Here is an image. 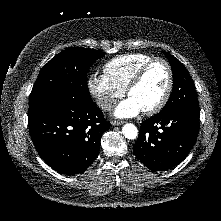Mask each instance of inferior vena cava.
Returning a JSON list of instances; mask_svg holds the SVG:
<instances>
[{
  "mask_svg": "<svg viewBox=\"0 0 221 221\" xmlns=\"http://www.w3.org/2000/svg\"><path fill=\"white\" fill-rule=\"evenodd\" d=\"M97 104L99 107H101L104 110L111 111L115 107V102L107 97L99 98L97 101Z\"/></svg>",
  "mask_w": 221,
  "mask_h": 221,
  "instance_id": "1",
  "label": "inferior vena cava"
}]
</instances>
